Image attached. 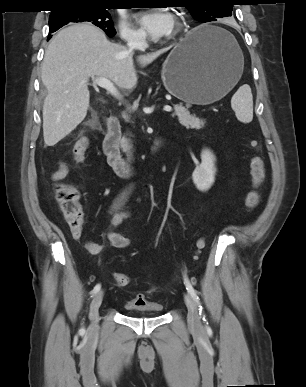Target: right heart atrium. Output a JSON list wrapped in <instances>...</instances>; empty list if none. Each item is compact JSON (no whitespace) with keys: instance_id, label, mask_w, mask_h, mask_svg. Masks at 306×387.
<instances>
[{"instance_id":"d8ad5b80","label":"right heart atrium","mask_w":306,"mask_h":387,"mask_svg":"<svg viewBox=\"0 0 306 387\" xmlns=\"http://www.w3.org/2000/svg\"><path fill=\"white\" fill-rule=\"evenodd\" d=\"M120 35L127 43H139L144 40V35L141 31L132 27L127 21L122 20L119 24Z\"/></svg>"}]
</instances>
